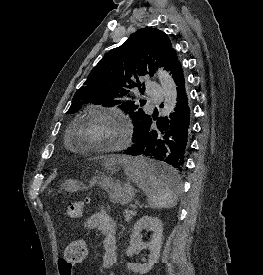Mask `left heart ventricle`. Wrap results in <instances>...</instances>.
Instances as JSON below:
<instances>
[{
  "mask_svg": "<svg viewBox=\"0 0 263 275\" xmlns=\"http://www.w3.org/2000/svg\"><path fill=\"white\" fill-rule=\"evenodd\" d=\"M106 132L107 127L100 122L92 124V126L89 129V134L94 137H102L106 134Z\"/></svg>",
  "mask_w": 263,
  "mask_h": 275,
  "instance_id": "b2bd125f",
  "label": "left heart ventricle"
}]
</instances>
